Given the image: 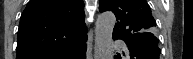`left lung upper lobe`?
Segmentation results:
<instances>
[{"label":"left lung upper lobe","mask_w":193,"mask_h":59,"mask_svg":"<svg viewBox=\"0 0 193 59\" xmlns=\"http://www.w3.org/2000/svg\"><path fill=\"white\" fill-rule=\"evenodd\" d=\"M99 11H112L116 15L113 34L122 39L133 35L155 37L156 22L146 0H100Z\"/></svg>","instance_id":"5c2ea615"}]
</instances>
